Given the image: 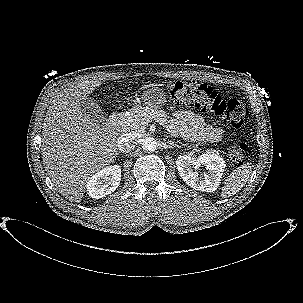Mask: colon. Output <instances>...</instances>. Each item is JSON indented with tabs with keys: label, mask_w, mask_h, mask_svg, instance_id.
Returning a JSON list of instances; mask_svg holds the SVG:
<instances>
[{
	"label": "colon",
	"mask_w": 303,
	"mask_h": 303,
	"mask_svg": "<svg viewBox=\"0 0 303 303\" xmlns=\"http://www.w3.org/2000/svg\"><path fill=\"white\" fill-rule=\"evenodd\" d=\"M172 100L177 105L191 106L224 120L233 128H240L248 114L245 102L239 99H223L207 84L197 81H172L169 84ZM244 137H239L231 146L230 156L234 162H241L249 153Z\"/></svg>",
	"instance_id": "1"
}]
</instances>
